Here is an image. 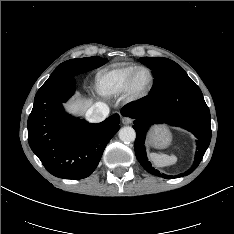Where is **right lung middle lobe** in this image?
Returning a JSON list of instances; mask_svg holds the SVG:
<instances>
[{
  "instance_id": "right-lung-middle-lobe-1",
  "label": "right lung middle lobe",
  "mask_w": 234,
  "mask_h": 234,
  "mask_svg": "<svg viewBox=\"0 0 234 234\" xmlns=\"http://www.w3.org/2000/svg\"><path fill=\"white\" fill-rule=\"evenodd\" d=\"M106 62L107 59L98 56L72 59L61 63L55 70H63L77 75L98 68Z\"/></svg>"
}]
</instances>
